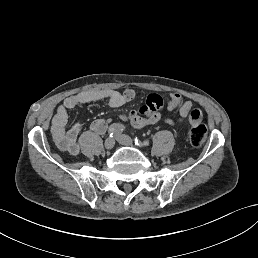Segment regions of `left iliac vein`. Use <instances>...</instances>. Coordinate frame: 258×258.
Masks as SVG:
<instances>
[{"label": "left iliac vein", "instance_id": "4c4485c4", "mask_svg": "<svg viewBox=\"0 0 258 258\" xmlns=\"http://www.w3.org/2000/svg\"><path fill=\"white\" fill-rule=\"evenodd\" d=\"M116 140L121 143L123 146H129L133 144V139L130 138L128 135L119 134L116 137Z\"/></svg>", "mask_w": 258, "mask_h": 258}]
</instances>
